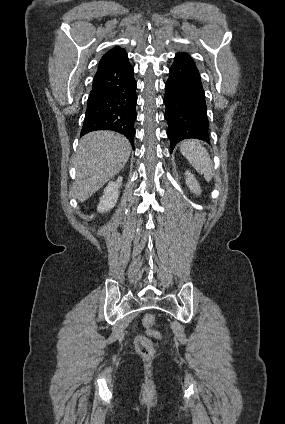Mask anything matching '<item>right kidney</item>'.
I'll return each instance as SVG.
<instances>
[{
  "label": "right kidney",
  "instance_id": "obj_1",
  "mask_svg": "<svg viewBox=\"0 0 285 424\" xmlns=\"http://www.w3.org/2000/svg\"><path fill=\"white\" fill-rule=\"evenodd\" d=\"M123 178L119 176L116 181H110L104 189L103 196L100 198V203L97 210L101 213L112 209L118 200L119 188L122 185Z\"/></svg>",
  "mask_w": 285,
  "mask_h": 424
}]
</instances>
